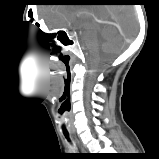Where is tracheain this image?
I'll return each mask as SVG.
<instances>
[{
    "instance_id": "obj_1",
    "label": "trachea",
    "mask_w": 159,
    "mask_h": 159,
    "mask_svg": "<svg viewBox=\"0 0 159 159\" xmlns=\"http://www.w3.org/2000/svg\"><path fill=\"white\" fill-rule=\"evenodd\" d=\"M66 138L69 140V135L68 134H65Z\"/></svg>"
}]
</instances>
